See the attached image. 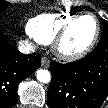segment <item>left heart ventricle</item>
Masks as SVG:
<instances>
[{
  "label": "left heart ventricle",
  "instance_id": "1",
  "mask_svg": "<svg viewBox=\"0 0 108 108\" xmlns=\"http://www.w3.org/2000/svg\"><path fill=\"white\" fill-rule=\"evenodd\" d=\"M94 32L95 22L93 18L83 17L71 28L63 46L67 51L80 50L90 42Z\"/></svg>",
  "mask_w": 108,
  "mask_h": 108
}]
</instances>
